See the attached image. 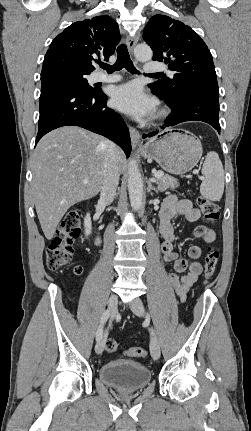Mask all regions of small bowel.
Listing matches in <instances>:
<instances>
[{
  "mask_svg": "<svg viewBox=\"0 0 251 431\" xmlns=\"http://www.w3.org/2000/svg\"><path fill=\"white\" fill-rule=\"evenodd\" d=\"M182 216L190 222L200 220L201 213L194 208L192 202L188 199H178L175 195L168 196L162 203L160 210V233L163 237L161 251L163 259L166 262H173L174 272L168 275V280L174 291L179 296L181 301L186 299V296L198 280L202 265L197 260L201 257V248L193 245L188 249V256L194 260L188 263L185 259L178 258V255L173 250V242L175 239L172 219L175 216ZM196 237L203 239L206 242H213L216 238L215 232L204 226H197L194 230Z\"/></svg>",
  "mask_w": 251,
  "mask_h": 431,
  "instance_id": "1",
  "label": "small bowel"
}]
</instances>
